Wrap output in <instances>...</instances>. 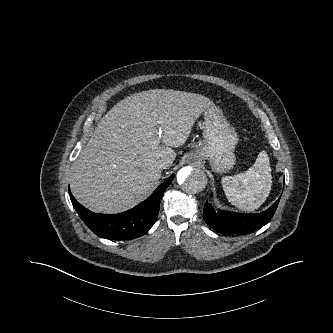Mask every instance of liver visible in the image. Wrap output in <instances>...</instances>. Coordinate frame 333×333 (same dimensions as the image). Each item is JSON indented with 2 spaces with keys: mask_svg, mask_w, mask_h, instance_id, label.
<instances>
[{
  "mask_svg": "<svg viewBox=\"0 0 333 333\" xmlns=\"http://www.w3.org/2000/svg\"><path fill=\"white\" fill-rule=\"evenodd\" d=\"M213 105L205 96L165 89L121 100L103 116L74 162L72 195L93 212L133 208L158 184L157 161L171 166L176 158L172 148L185 144L201 113Z\"/></svg>",
  "mask_w": 333,
  "mask_h": 333,
  "instance_id": "6515ba94",
  "label": "liver"
}]
</instances>
